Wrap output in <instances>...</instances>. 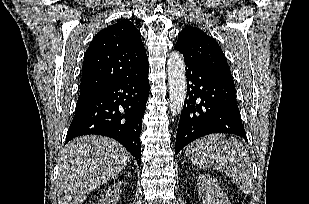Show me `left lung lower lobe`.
I'll return each instance as SVG.
<instances>
[{"instance_id":"1","label":"left lung lower lobe","mask_w":309,"mask_h":204,"mask_svg":"<svg viewBox=\"0 0 309 204\" xmlns=\"http://www.w3.org/2000/svg\"><path fill=\"white\" fill-rule=\"evenodd\" d=\"M187 97L181 112L175 154L192 141L212 133L246 139L231 76L185 61Z\"/></svg>"}]
</instances>
